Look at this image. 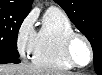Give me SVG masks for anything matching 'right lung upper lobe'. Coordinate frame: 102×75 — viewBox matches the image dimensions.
I'll return each instance as SVG.
<instances>
[{
    "mask_svg": "<svg viewBox=\"0 0 102 75\" xmlns=\"http://www.w3.org/2000/svg\"><path fill=\"white\" fill-rule=\"evenodd\" d=\"M32 0H0V8L20 12L31 10Z\"/></svg>",
    "mask_w": 102,
    "mask_h": 75,
    "instance_id": "1",
    "label": "right lung upper lobe"
}]
</instances>
